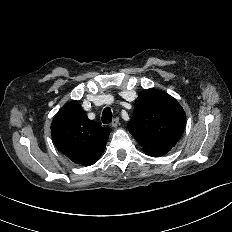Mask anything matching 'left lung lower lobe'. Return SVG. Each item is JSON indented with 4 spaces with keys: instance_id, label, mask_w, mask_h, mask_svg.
Instances as JSON below:
<instances>
[{
    "instance_id": "1",
    "label": "left lung lower lobe",
    "mask_w": 232,
    "mask_h": 232,
    "mask_svg": "<svg viewBox=\"0 0 232 232\" xmlns=\"http://www.w3.org/2000/svg\"><path fill=\"white\" fill-rule=\"evenodd\" d=\"M171 150V148H161L157 150H144V152L152 157H160L166 153H168Z\"/></svg>"
}]
</instances>
